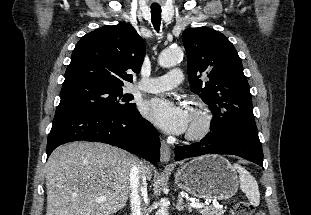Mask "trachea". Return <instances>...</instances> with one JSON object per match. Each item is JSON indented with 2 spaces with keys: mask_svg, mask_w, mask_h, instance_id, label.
Listing matches in <instances>:
<instances>
[{
  "mask_svg": "<svg viewBox=\"0 0 311 215\" xmlns=\"http://www.w3.org/2000/svg\"><path fill=\"white\" fill-rule=\"evenodd\" d=\"M151 22L155 30L159 31L161 24V7L151 6Z\"/></svg>",
  "mask_w": 311,
  "mask_h": 215,
  "instance_id": "1",
  "label": "trachea"
}]
</instances>
